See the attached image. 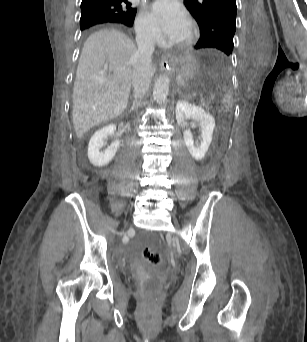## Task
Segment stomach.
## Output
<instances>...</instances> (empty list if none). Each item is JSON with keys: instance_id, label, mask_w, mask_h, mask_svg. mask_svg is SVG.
Returning <instances> with one entry per match:
<instances>
[{"instance_id": "obj_1", "label": "stomach", "mask_w": 307, "mask_h": 342, "mask_svg": "<svg viewBox=\"0 0 307 342\" xmlns=\"http://www.w3.org/2000/svg\"><path fill=\"white\" fill-rule=\"evenodd\" d=\"M197 61L192 55L175 58L169 67L176 72L177 84L182 89H189L196 73Z\"/></svg>"}]
</instances>
